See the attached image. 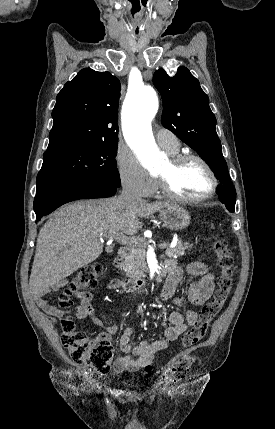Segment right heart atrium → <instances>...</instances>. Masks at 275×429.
Returning a JSON list of instances; mask_svg holds the SVG:
<instances>
[{
	"mask_svg": "<svg viewBox=\"0 0 275 429\" xmlns=\"http://www.w3.org/2000/svg\"><path fill=\"white\" fill-rule=\"evenodd\" d=\"M117 169L122 186L129 192L147 196L156 188V181L127 152L117 154Z\"/></svg>",
	"mask_w": 275,
	"mask_h": 429,
	"instance_id": "1",
	"label": "right heart atrium"
}]
</instances>
